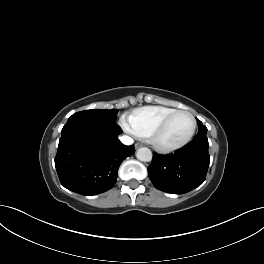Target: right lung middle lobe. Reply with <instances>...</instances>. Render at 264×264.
<instances>
[{
  "label": "right lung middle lobe",
  "instance_id": "right-lung-middle-lobe-1",
  "mask_svg": "<svg viewBox=\"0 0 264 264\" xmlns=\"http://www.w3.org/2000/svg\"><path fill=\"white\" fill-rule=\"evenodd\" d=\"M117 110H106V109H94V110H86L80 111L73 114L68 121L76 120V119H89L100 123L105 124H115Z\"/></svg>",
  "mask_w": 264,
  "mask_h": 264
}]
</instances>
